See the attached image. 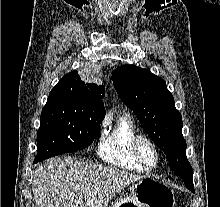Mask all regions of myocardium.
I'll list each match as a JSON object with an SVG mask.
<instances>
[{"mask_svg":"<svg viewBox=\"0 0 220 207\" xmlns=\"http://www.w3.org/2000/svg\"><path fill=\"white\" fill-rule=\"evenodd\" d=\"M142 144H147L153 151L155 156V161L152 164H148L143 158L141 152ZM132 153L134 158L140 163L145 169H153L155 168L160 160V152L156 143L145 134H137L132 140Z\"/></svg>","mask_w":220,"mask_h":207,"instance_id":"myocardium-1","label":"myocardium"}]
</instances>
